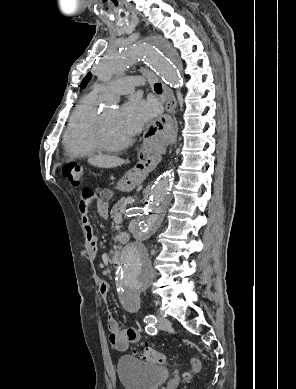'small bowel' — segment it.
I'll return each instance as SVG.
<instances>
[{
	"instance_id": "1",
	"label": "small bowel",
	"mask_w": 296,
	"mask_h": 389,
	"mask_svg": "<svg viewBox=\"0 0 296 389\" xmlns=\"http://www.w3.org/2000/svg\"><path fill=\"white\" fill-rule=\"evenodd\" d=\"M90 193V196L87 194ZM112 196L109 190H102L97 196L90 189H83L79 201V211L81 214V223L87 234L90 247L93 251L97 249V239L93 234L91 220L88 215V208L95 201L97 211L100 215L106 216L108 213V199ZM100 294L103 299H107L109 294V284L102 281L99 286ZM107 326L109 330V342L117 351H125L130 344L139 341V331L134 327L121 328L114 316L109 313L107 316Z\"/></svg>"
}]
</instances>
